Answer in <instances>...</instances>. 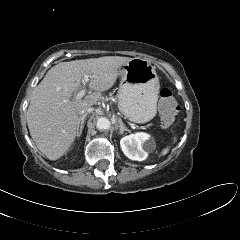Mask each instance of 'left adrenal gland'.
I'll list each match as a JSON object with an SVG mask.
<instances>
[{"mask_svg": "<svg viewBox=\"0 0 240 240\" xmlns=\"http://www.w3.org/2000/svg\"><path fill=\"white\" fill-rule=\"evenodd\" d=\"M118 122H119V127H120V134H123L124 131H130L128 128L125 127V125L121 119H119Z\"/></svg>", "mask_w": 240, "mask_h": 240, "instance_id": "obj_1", "label": "left adrenal gland"}]
</instances>
